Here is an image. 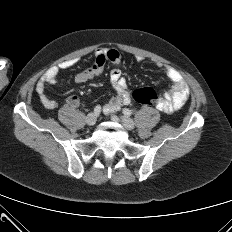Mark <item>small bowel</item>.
Returning a JSON list of instances; mask_svg holds the SVG:
<instances>
[{
  "mask_svg": "<svg viewBox=\"0 0 232 232\" xmlns=\"http://www.w3.org/2000/svg\"><path fill=\"white\" fill-rule=\"evenodd\" d=\"M141 61L140 58L137 59ZM107 62L118 66L121 63V56L115 49H98L95 53L94 63L91 67L84 69L75 75V81L78 83H84L90 81L100 75ZM76 60L63 61L57 66L49 68L40 78L36 85V91L40 97V100L45 108L54 109L57 107V102L47 96L45 92L46 84H55L57 82V76L61 70H66L74 66ZM158 69H160L166 77L172 82L171 90L165 92L157 103V109L170 114L180 110L189 97V87L186 84L183 76L176 69L157 63ZM110 83L115 91V94L109 98L103 104V110L106 114H112L117 112L122 105L129 104L131 102L130 93L128 91V83L123 76L119 67H115L110 72ZM67 104L71 108H78L81 103L76 96H69L67 98Z\"/></svg>",
  "mask_w": 232,
  "mask_h": 232,
  "instance_id": "1",
  "label": "small bowel"
}]
</instances>
